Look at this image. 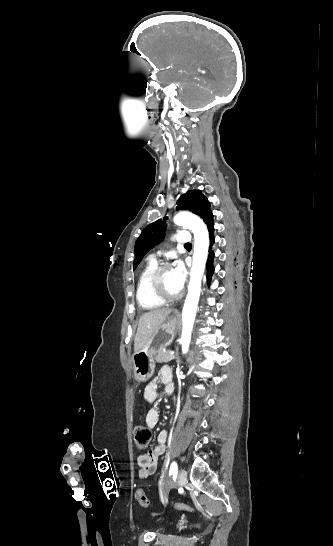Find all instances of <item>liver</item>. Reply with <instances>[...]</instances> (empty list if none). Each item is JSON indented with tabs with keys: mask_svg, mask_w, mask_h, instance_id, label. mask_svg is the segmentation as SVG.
Segmentation results:
<instances>
[{
	"mask_svg": "<svg viewBox=\"0 0 333 546\" xmlns=\"http://www.w3.org/2000/svg\"><path fill=\"white\" fill-rule=\"evenodd\" d=\"M172 309H155L141 315L138 321L137 333L134 339V352L141 350L153 337L156 330L168 318Z\"/></svg>",
	"mask_w": 333,
	"mask_h": 546,
	"instance_id": "obj_1",
	"label": "liver"
}]
</instances>
